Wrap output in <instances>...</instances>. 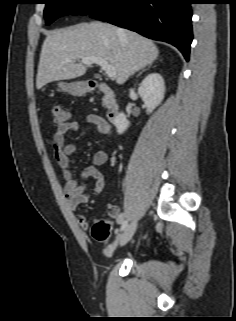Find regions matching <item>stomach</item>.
<instances>
[{"label": "stomach", "instance_id": "stomach-1", "mask_svg": "<svg viewBox=\"0 0 236 321\" xmlns=\"http://www.w3.org/2000/svg\"><path fill=\"white\" fill-rule=\"evenodd\" d=\"M58 87L62 91L74 96L84 95L89 91V86L85 82H59Z\"/></svg>", "mask_w": 236, "mask_h": 321}]
</instances>
